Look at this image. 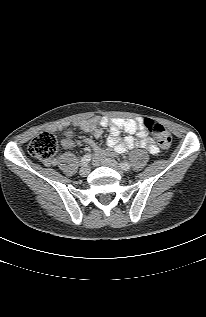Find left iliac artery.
Listing matches in <instances>:
<instances>
[{"mask_svg":"<svg viewBox=\"0 0 206 317\" xmlns=\"http://www.w3.org/2000/svg\"><path fill=\"white\" fill-rule=\"evenodd\" d=\"M120 166H121V168H122L123 170H129L130 167H131V165H130L129 163H127V162H122V163H120Z\"/></svg>","mask_w":206,"mask_h":317,"instance_id":"obj_1","label":"left iliac artery"}]
</instances>
